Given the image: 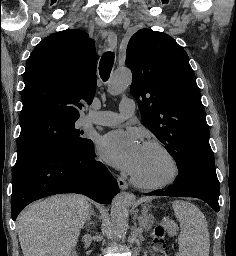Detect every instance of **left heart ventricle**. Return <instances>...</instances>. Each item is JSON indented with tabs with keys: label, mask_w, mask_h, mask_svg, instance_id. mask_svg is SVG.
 I'll list each match as a JSON object with an SVG mask.
<instances>
[{
	"label": "left heart ventricle",
	"mask_w": 236,
	"mask_h": 256,
	"mask_svg": "<svg viewBox=\"0 0 236 256\" xmlns=\"http://www.w3.org/2000/svg\"><path fill=\"white\" fill-rule=\"evenodd\" d=\"M171 172L172 165L161 150L144 146L132 174L144 183L156 184L169 177Z\"/></svg>",
	"instance_id": "1"
}]
</instances>
